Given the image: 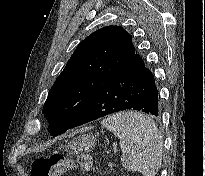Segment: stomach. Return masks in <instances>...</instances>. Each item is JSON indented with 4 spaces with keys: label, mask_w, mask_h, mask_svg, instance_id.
I'll list each match as a JSON object with an SVG mask.
<instances>
[{
    "label": "stomach",
    "mask_w": 205,
    "mask_h": 176,
    "mask_svg": "<svg viewBox=\"0 0 205 176\" xmlns=\"http://www.w3.org/2000/svg\"><path fill=\"white\" fill-rule=\"evenodd\" d=\"M95 143L96 138L93 135L82 134L68 144V150L71 154L89 152L95 147Z\"/></svg>",
    "instance_id": "0dacf381"
}]
</instances>
